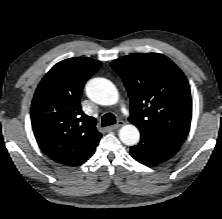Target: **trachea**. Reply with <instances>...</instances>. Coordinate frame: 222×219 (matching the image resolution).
<instances>
[{"label": "trachea", "mask_w": 222, "mask_h": 219, "mask_svg": "<svg viewBox=\"0 0 222 219\" xmlns=\"http://www.w3.org/2000/svg\"><path fill=\"white\" fill-rule=\"evenodd\" d=\"M102 127L105 126H110L116 123V119L114 114L112 113H106L103 117H102Z\"/></svg>", "instance_id": "3493384b"}]
</instances>
